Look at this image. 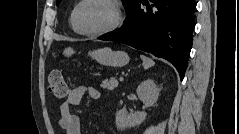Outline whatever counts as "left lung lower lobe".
<instances>
[{
    "label": "left lung lower lobe",
    "instance_id": "obj_1",
    "mask_svg": "<svg viewBox=\"0 0 239 134\" xmlns=\"http://www.w3.org/2000/svg\"><path fill=\"white\" fill-rule=\"evenodd\" d=\"M195 7V0H136L124 25L99 39L124 43L164 58L183 80L192 47Z\"/></svg>",
    "mask_w": 239,
    "mask_h": 134
}]
</instances>
